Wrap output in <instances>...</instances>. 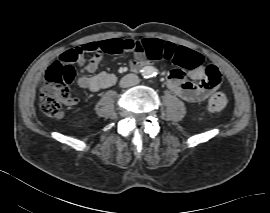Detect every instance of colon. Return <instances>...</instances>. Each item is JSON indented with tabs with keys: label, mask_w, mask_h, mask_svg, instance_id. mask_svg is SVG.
<instances>
[{
	"label": "colon",
	"mask_w": 270,
	"mask_h": 213,
	"mask_svg": "<svg viewBox=\"0 0 270 213\" xmlns=\"http://www.w3.org/2000/svg\"><path fill=\"white\" fill-rule=\"evenodd\" d=\"M155 48L154 43H145L143 40L114 39L107 43L106 50L111 54H120L125 51L135 52L148 56L150 50ZM81 56V50L76 46L60 55V60L49 65L45 72L44 83L39 98V107L48 117L61 119L64 117V105L75 101L77 95L70 85L75 76L73 64ZM201 58L194 56V65H198ZM208 74L219 76V70L214 65L206 67ZM227 96L224 92L214 93L208 101V110L219 113L227 106Z\"/></svg>",
	"instance_id": "colon-1"
}]
</instances>
